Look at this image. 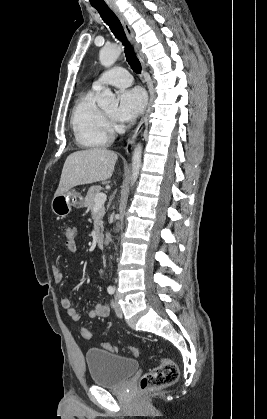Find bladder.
I'll return each mask as SVG.
<instances>
[{"mask_svg": "<svg viewBox=\"0 0 267 419\" xmlns=\"http://www.w3.org/2000/svg\"><path fill=\"white\" fill-rule=\"evenodd\" d=\"M85 358L92 383L104 388L123 386L139 369L137 360L99 348L89 349Z\"/></svg>", "mask_w": 267, "mask_h": 419, "instance_id": "bladder-1", "label": "bladder"}]
</instances>
